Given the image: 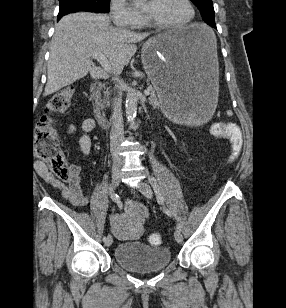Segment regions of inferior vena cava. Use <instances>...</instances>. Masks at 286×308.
<instances>
[{"mask_svg":"<svg viewBox=\"0 0 286 308\" xmlns=\"http://www.w3.org/2000/svg\"><path fill=\"white\" fill-rule=\"evenodd\" d=\"M116 85L117 89H120V80ZM124 140V128H123V117L121 111V100L116 97L113 100V113L111 117V132H110V147L111 152L115 155L116 149L120 146L121 142ZM116 156V155H115Z\"/></svg>","mask_w":286,"mask_h":308,"instance_id":"1","label":"inferior vena cava"}]
</instances>
